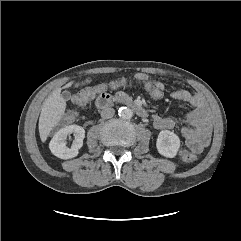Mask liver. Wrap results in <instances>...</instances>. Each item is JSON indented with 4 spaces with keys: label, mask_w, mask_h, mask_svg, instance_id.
Wrapping results in <instances>:
<instances>
[{
    "label": "liver",
    "mask_w": 241,
    "mask_h": 241,
    "mask_svg": "<svg viewBox=\"0 0 241 241\" xmlns=\"http://www.w3.org/2000/svg\"><path fill=\"white\" fill-rule=\"evenodd\" d=\"M73 82H69L64 87H71ZM66 109V102L61 96V88L54 90L44 101L39 117V134L42 142L47 140L51 130L58 125Z\"/></svg>",
    "instance_id": "obj_1"
}]
</instances>
